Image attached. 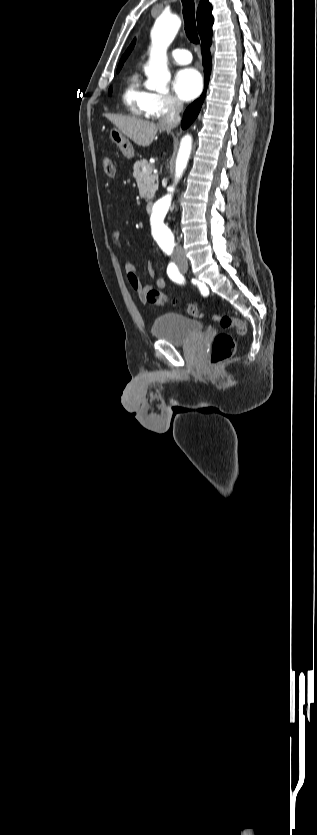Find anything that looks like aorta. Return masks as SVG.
Returning a JSON list of instances; mask_svg holds the SVG:
<instances>
[{
  "mask_svg": "<svg viewBox=\"0 0 317 835\" xmlns=\"http://www.w3.org/2000/svg\"><path fill=\"white\" fill-rule=\"evenodd\" d=\"M181 21L176 13L160 14L154 23L151 30V49L147 66L145 67V74L147 81L146 88L156 90L157 92H165L167 84L171 79V74L167 66V49L173 42L179 28ZM192 149V137L186 135L180 142L178 155L176 158L175 179L179 180L185 171ZM171 205V194L166 195L156 202L151 215V220L154 224L155 234L159 237H164L172 240V232L166 224V215Z\"/></svg>",
  "mask_w": 317,
  "mask_h": 835,
  "instance_id": "762f6f07",
  "label": "aorta"
}]
</instances>
